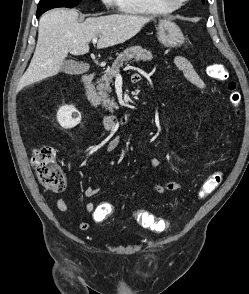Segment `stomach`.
<instances>
[{
  "instance_id": "obj_1",
  "label": "stomach",
  "mask_w": 249,
  "mask_h": 294,
  "mask_svg": "<svg viewBox=\"0 0 249 294\" xmlns=\"http://www.w3.org/2000/svg\"><path fill=\"white\" fill-rule=\"evenodd\" d=\"M157 35L159 42L165 47H179L184 43V36L180 28L167 19L159 21Z\"/></svg>"
}]
</instances>
